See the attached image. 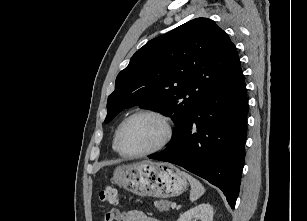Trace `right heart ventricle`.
Listing matches in <instances>:
<instances>
[{
    "label": "right heart ventricle",
    "instance_id": "e07e8e85",
    "mask_svg": "<svg viewBox=\"0 0 307 221\" xmlns=\"http://www.w3.org/2000/svg\"><path fill=\"white\" fill-rule=\"evenodd\" d=\"M122 122H123V121H122ZM122 122H120L119 125L117 126V128H116V130H115L114 138H113V149H114L115 151H117V150H116V135H117V132H118V130H119V128H120Z\"/></svg>",
    "mask_w": 307,
    "mask_h": 221
}]
</instances>
